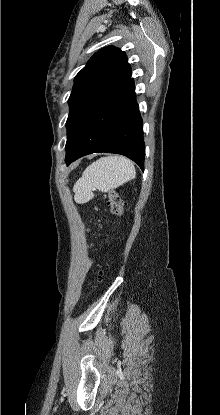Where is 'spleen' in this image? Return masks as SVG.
Wrapping results in <instances>:
<instances>
[{
    "instance_id": "1",
    "label": "spleen",
    "mask_w": 220,
    "mask_h": 415,
    "mask_svg": "<svg viewBox=\"0 0 220 415\" xmlns=\"http://www.w3.org/2000/svg\"><path fill=\"white\" fill-rule=\"evenodd\" d=\"M136 175L134 164L122 156L102 157L89 165L75 183L73 191L77 203H86L94 197L93 190L109 192Z\"/></svg>"
}]
</instances>
